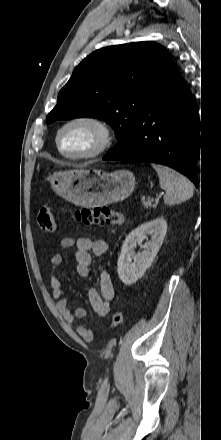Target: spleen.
Masks as SVG:
<instances>
[{
	"label": "spleen",
	"mask_w": 221,
	"mask_h": 440,
	"mask_svg": "<svg viewBox=\"0 0 221 440\" xmlns=\"http://www.w3.org/2000/svg\"><path fill=\"white\" fill-rule=\"evenodd\" d=\"M152 167L159 176L161 189L166 191L165 204H178L193 196V185L185 176L163 165L152 164Z\"/></svg>",
	"instance_id": "3e777b00"
}]
</instances>
